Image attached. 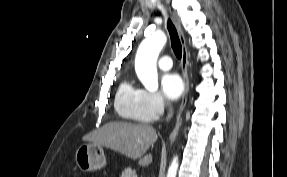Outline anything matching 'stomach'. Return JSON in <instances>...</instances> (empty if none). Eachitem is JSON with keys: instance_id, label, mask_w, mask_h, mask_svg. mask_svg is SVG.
Instances as JSON below:
<instances>
[{"instance_id": "1", "label": "stomach", "mask_w": 287, "mask_h": 177, "mask_svg": "<svg viewBox=\"0 0 287 177\" xmlns=\"http://www.w3.org/2000/svg\"><path fill=\"white\" fill-rule=\"evenodd\" d=\"M75 162L82 172L99 170L106 165L104 150L100 145L83 144L76 150Z\"/></svg>"}]
</instances>
